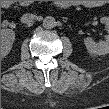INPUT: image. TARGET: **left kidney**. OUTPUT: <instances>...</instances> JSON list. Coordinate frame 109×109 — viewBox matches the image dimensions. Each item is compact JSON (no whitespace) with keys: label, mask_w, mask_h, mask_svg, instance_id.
<instances>
[{"label":"left kidney","mask_w":109,"mask_h":109,"mask_svg":"<svg viewBox=\"0 0 109 109\" xmlns=\"http://www.w3.org/2000/svg\"><path fill=\"white\" fill-rule=\"evenodd\" d=\"M100 21L105 25H109L108 17H102ZM84 44L90 54L106 55L109 53V36H106L105 41L99 43L94 42L92 38L88 37L84 39Z\"/></svg>","instance_id":"1"}]
</instances>
